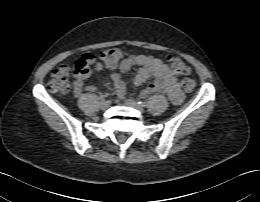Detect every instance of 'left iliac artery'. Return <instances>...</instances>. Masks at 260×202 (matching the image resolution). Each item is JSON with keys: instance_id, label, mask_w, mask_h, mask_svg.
<instances>
[{"instance_id": "44dca946", "label": "left iliac artery", "mask_w": 260, "mask_h": 202, "mask_svg": "<svg viewBox=\"0 0 260 202\" xmlns=\"http://www.w3.org/2000/svg\"><path fill=\"white\" fill-rule=\"evenodd\" d=\"M138 104L143 107H145L147 105V103L145 101H139Z\"/></svg>"}]
</instances>
